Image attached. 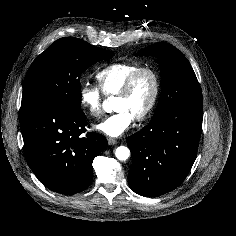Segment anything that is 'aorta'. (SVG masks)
<instances>
[{
	"label": "aorta",
	"mask_w": 236,
	"mask_h": 236,
	"mask_svg": "<svg viewBox=\"0 0 236 236\" xmlns=\"http://www.w3.org/2000/svg\"><path fill=\"white\" fill-rule=\"evenodd\" d=\"M115 156L120 161H126L130 156V150L125 146H120L116 149Z\"/></svg>",
	"instance_id": "1"
}]
</instances>
